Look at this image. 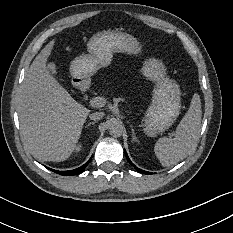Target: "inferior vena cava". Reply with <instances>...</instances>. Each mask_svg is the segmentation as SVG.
Returning <instances> with one entry per match:
<instances>
[{
	"instance_id": "obj_1",
	"label": "inferior vena cava",
	"mask_w": 233,
	"mask_h": 233,
	"mask_svg": "<svg viewBox=\"0 0 233 233\" xmlns=\"http://www.w3.org/2000/svg\"><path fill=\"white\" fill-rule=\"evenodd\" d=\"M90 119L91 120H100L104 117V113L103 112H93L90 114Z\"/></svg>"
}]
</instances>
